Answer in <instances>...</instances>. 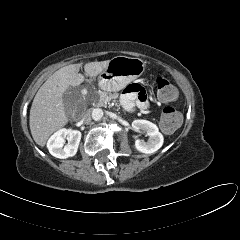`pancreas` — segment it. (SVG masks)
Segmentation results:
<instances>
[{
  "mask_svg": "<svg viewBox=\"0 0 240 240\" xmlns=\"http://www.w3.org/2000/svg\"><path fill=\"white\" fill-rule=\"evenodd\" d=\"M110 97H112V95H108V93L103 92V91H98L96 93V99L92 100L93 105L98 106V107H106Z\"/></svg>",
  "mask_w": 240,
  "mask_h": 240,
  "instance_id": "pancreas-1",
  "label": "pancreas"
}]
</instances>
